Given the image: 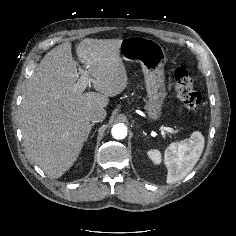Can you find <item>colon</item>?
Masks as SVG:
<instances>
[{
    "instance_id": "obj_1",
    "label": "colon",
    "mask_w": 236,
    "mask_h": 236,
    "mask_svg": "<svg viewBox=\"0 0 236 236\" xmlns=\"http://www.w3.org/2000/svg\"><path fill=\"white\" fill-rule=\"evenodd\" d=\"M174 87L176 96L182 105L191 113H198L201 95L194 88L193 79L185 68L176 69Z\"/></svg>"
}]
</instances>
